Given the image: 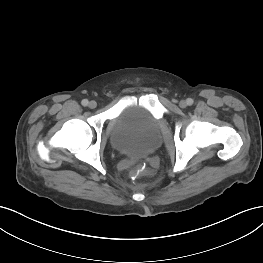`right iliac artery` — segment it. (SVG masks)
<instances>
[{
	"mask_svg": "<svg viewBox=\"0 0 263 263\" xmlns=\"http://www.w3.org/2000/svg\"><path fill=\"white\" fill-rule=\"evenodd\" d=\"M88 100L87 99H84V100H82V102H81V104L83 105V106H87L88 105Z\"/></svg>",
	"mask_w": 263,
	"mask_h": 263,
	"instance_id": "obj_1",
	"label": "right iliac artery"
}]
</instances>
